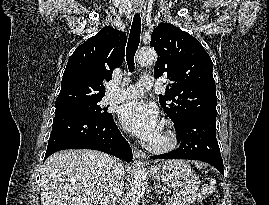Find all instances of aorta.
<instances>
[{
    "instance_id": "762f6f07",
    "label": "aorta",
    "mask_w": 269,
    "mask_h": 205,
    "mask_svg": "<svg viewBox=\"0 0 269 205\" xmlns=\"http://www.w3.org/2000/svg\"><path fill=\"white\" fill-rule=\"evenodd\" d=\"M138 63L142 65L153 64L157 61V53L154 49H142L137 55ZM147 188V172L143 165L137 164L134 169V178L131 188L123 199L121 205H138Z\"/></svg>"
}]
</instances>
